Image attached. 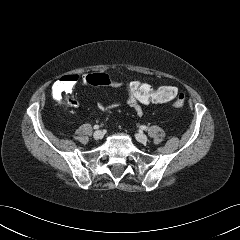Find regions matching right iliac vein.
Segmentation results:
<instances>
[{
  "mask_svg": "<svg viewBox=\"0 0 240 240\" xmlns=\"http://www.w3.org/2000/svg\"><path fill=\"white\" fill-rule=\"evenodd\" d=\"M104 136V133L101 130H97L94 132L93 137L96 140H101Z\"/></svg>",
  "mask_w": 240,
  "mask_h": 240,
  "instance_id": "63e3f726",
  "label": "right iliac vein"
}]
</instances>
